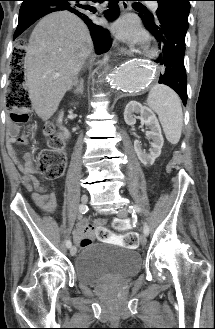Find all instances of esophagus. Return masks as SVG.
I'll use <instances>...</instances> for the list:
<instances>
[{
    "label": "esophagus",
    "mask_w": 215,
    "mask_h": 329,
    "mask_svg": "<svg viewBox=\"0 0 215 329\" xmlns=\"http://www.w3.org/2000/svg\"><path fill=\"white\" fill-rule=\"evenodd\" d=\"M121 8L125 12V11L129 10L130 5L127 1H124L121 4ZM119 53L122 54V55H126V56H131L132 55V51L129 50L128 48L124 47V46H121L119 48Z\"/></svg>",
    "instance_id": "esophagus-1"
}]
</instances>
